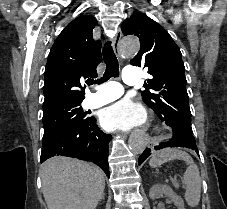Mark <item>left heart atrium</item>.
I'll return each mask as SVG.
<instances>
[{
    "label": "left heart atrium",
    "instance_id": "obj_1",
    "mask_svg": "<svg viewBox=\"0 0 227 209\" xmlns=\"http://www.w3.org/2000/svg\"><path fill=\"white\" fill-rule=\"evenodd\" d=\"M146 121V110L138 102L121 99L104 108L99 116L100 125L106 130L128 131Z\"/></svg>",
    "mask_w": 227,
    "mask_h": 209
}]
</instances>
